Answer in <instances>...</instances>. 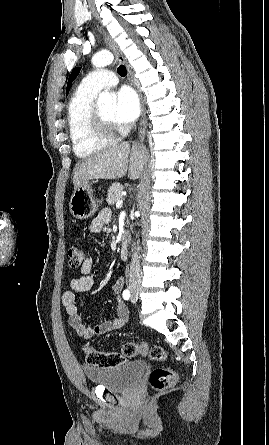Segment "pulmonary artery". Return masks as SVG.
<instances>
[{"label": "pulmonary artery", "instance_id": "e3ab8cb5", "mask_svg": "<svg viewBox=\"0 0 269 445\" xmlns=\"http://www.w3.org/2000/svg\"><path fill=\"white\" fill-rule=\"evenodd\" d=\"M118 83V78L114 72L98 69L90 72L80 83V87L92 93H98L104 88L115 86Z\"/></svg>", "mask_w": 269, "mask_h": 445}]
</instances>
